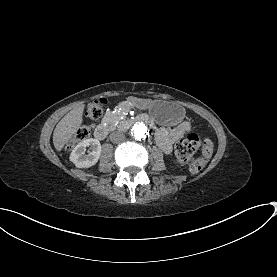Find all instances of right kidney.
<instances>
[{
	"label": "right kidney",
	"mask_w": 277,
	"mask_h": 277,
	"mask_svg": "<svg viewBox=\"0 0 277 277\" xmlns=\"http://www.w3.org/2000/svg\"><path fill=\"white\" fill-rule=\"evenodd\" d=\"M88 148L87 154L86 150ZM101 154V144L98 140L89 138L76 145L70 154V161L77 168H88L95 165Z\"/></svg>",
	"instance_id": "ca27d5eb"
}]
</instances>
